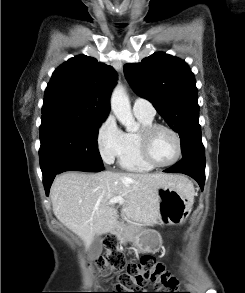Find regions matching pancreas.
Masks as SVG:
<instances>
[{
    "mask_svg": "<svg viewBox=\"0 0 245 293\" xmlns=\"http://www.w3.org/2000/svg\"><path fill=\"white\" fill-rule=\"evenodd\" d=\"M141 226V224L136 223L130 219H127L126 223L121 222V224L117 228V238L120 242L126 243L134 233L141 229Z\"/></svg>",
    "mask_w": 245,
    "mask_h": 293,
    "instance_id": "obj_1",
    "label": "pancreas"
}]
</instances>
